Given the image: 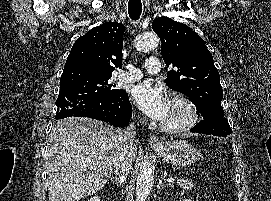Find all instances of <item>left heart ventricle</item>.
I'll return each mask as SVG.
<instances>
[{
  "label": "left heart ventricle",
  "mask_w": 271,
  "mask_h": 201,
  "mask_svg": "<svg viewBox=\"0 0 271 201\" xmlns=\"http://www.w3.org/2000/svg\"><path fill=\"white\" fill-rule=\"evenodd\" d=\"M184 119H185L184 110L181 107L170 103L168 115L163 120V122L169 125H176L183 122Z\"/></svg>",
  "instance_id": "left-heart-ventricle-1"
}]
</instances>
